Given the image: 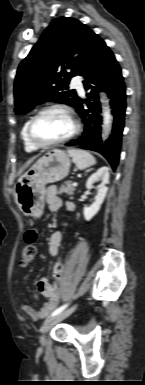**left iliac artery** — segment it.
Instances as JSON below:
<instances>
[{"label": "left iliac artery", "mask_w": 145, "mask_h": 385, "mask_svg": "<svg viewBox=\"0 0 145 385\" xmlns=\"http://www.w3.org/2000/svg\"><path fill=\"white\" fill-rule=\"evenodd\" d=\"M67 306H68V304H65V305H62V306H60L59 308L55 309V310L52 312L51 316H55V315L61 313L62 311H64V310L66 309Z\"/></svg>", "instance_id": "44dca946"}]
</instances>
